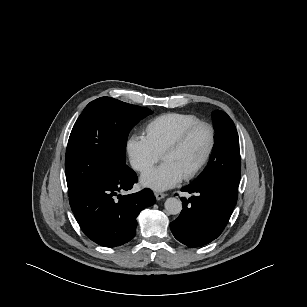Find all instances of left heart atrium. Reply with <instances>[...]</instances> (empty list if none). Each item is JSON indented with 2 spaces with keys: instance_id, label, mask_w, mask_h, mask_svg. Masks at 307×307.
<instances>
[{
  "instance_id": "left-heart-atrium-1",
  "label": "left heart atrium",
  "mask_w": 307,
  "mask_h": 307,
  "mask_svg": "<svg viewBox=\"0 0 307 307\" xmlns=\"http://www.w3.org/2000/svg\"><path fill=\"white\" fill-rule=\"evenodd\" d=\"M183 174L172 164L164 162L141 177V183L157 191L169 189L183 179Z\"/></svg>"
}]
</instances>
